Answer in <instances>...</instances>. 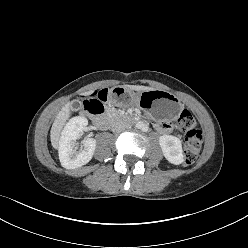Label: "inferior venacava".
<instances>
[{"mask_svg": "<svg viewBox=\"0 0 248 248\" xmlns=\"http://www.w3.org/2000/svg\"><path fill=\"white\" fill-rule=\"evenodd\" d=\"M127 128H130V126L128 124L123 123V122H116L112 125V131L114 133H120Z\"/></svg>", "mask_w": 248, "mask_h": 248, "instance_id": "obj_1", "label": "inferior vena cava"}]
</instances>
